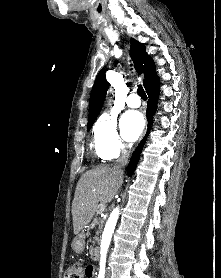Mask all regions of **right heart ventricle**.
<instances>
[{
    "mask_svg": "<svg viewBox=\"0 0 221 278\" xmlns=\"http://www.w3.org/2000/svg\"><path fill=\"white\" fill-rule=\"evenodd\" d=\"M96 155H97V158L99 160H101V161H105L106 160V158L103 155H101L97 150H96Z\"/></svg>",
    "mask_w": 221,
    "mask_h": 278,
    "instance_id": "obj_1",
    "label": "right heart ventricle"
}]
</instances>
